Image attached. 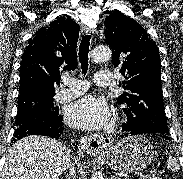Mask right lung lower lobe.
<instances>
[{"mask_svg": "<svg viewBox=\"0 0 183 179\" xmlns=\"http://www.w3.org/2000/svg\"><path fill=\"white\" fill-rule=\"evenodd\" d=\"M63 117L58 115L51 119H30L15 129L13 141L16 142L27 135H42L56 139L62 135Z\"/></svg>", "mask_w": 183, "mask_h": 179, "instance_id": "98d812e1", "label": "right lung lower lobe"}]
</instances>
